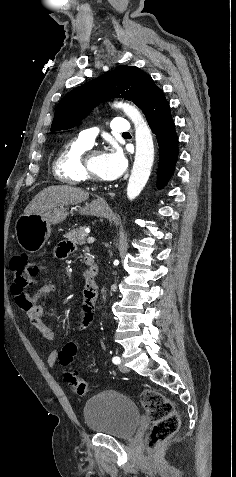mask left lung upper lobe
Masks as SVG:
<instances>
[{"label": "left lung upper lobe", "instance_id": "1", "mask_svg": "<svg viewBox=\"0 0 236 477\" xmlns=\"http://www.w3.org/2000/svg\"><path fill=\"white\" fill-rule=\"evenodd\" d=\"M158 90L150 75L121 65L66 94L56 108L51 131L78 125L99 102L114 97L132 100L145 114Z\"/></svg>", "mask_w": 236, "mask_h": 477}]
</instances>
